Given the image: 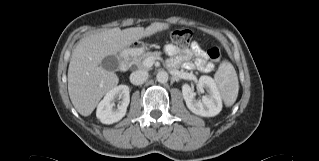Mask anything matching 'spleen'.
I'll return each instance as SVG.
<instances>
[{"mask_svg":"<svg viewBox=\"0 0 319 161\" xmlns=\"http://www.w3.org/2000/svg\"><path fill=\"white\" fill-rule=\"evenodd\" d=\"M214 81L221 93L226 106H232L238 96L239 82L233 65L222 61L214 75Z\"/></svg>","mask_w":319,"mask_h":161,"instance_id":"3e777b00","label":"spleen"}]
</instances>
